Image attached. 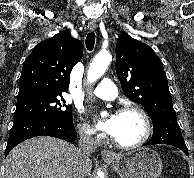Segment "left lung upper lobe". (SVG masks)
Returning a JSON list of instances; mask_svg holds the SVG:
<instances>
[{
	"mask_svg": "<svg viewBox=\"0 0 194 178\" xmlns=\"http://www.w3.org/2000/svg\"><path fill=\"white\" fill-rule=\"evenodd\" d=\"M116 73L124 94L153 119L175 113L163 63L152 48L122 32L116 44Z\"/></svg>",
	"mask_w": 194,
	"mask_h": 178,
	"instance_id": "5c2ea615",
	"label": "left lung upper lobe"
}]
</instances>
